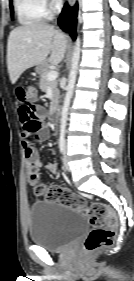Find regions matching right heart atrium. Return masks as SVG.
Wrapping results in <instances>:
<instances>
[{"label": "right heart atrium", "mask_w": 134, "mask_h": 281, "mask_svg": "<svg viewBox=\"0 0 134 281\" xmlns=\"http://www.w3.org/2000/svg\"><path fill=\"white\" fill-rule=\"evenodd\" d=\"M48 9L54 10L60 5V0H44Z\"/></svg>", "instance_id": "obj_1"}]
</instances>
